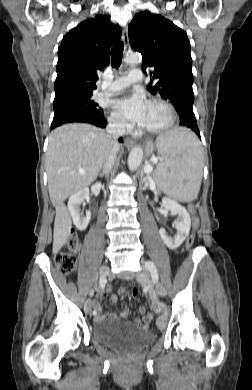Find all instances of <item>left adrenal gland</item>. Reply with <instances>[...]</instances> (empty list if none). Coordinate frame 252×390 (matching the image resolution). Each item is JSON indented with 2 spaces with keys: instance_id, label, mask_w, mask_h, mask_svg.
<instances>
[{
  "instance_id": "left-adrenal-gland-1",
  "label": "left adrenal gland",
  "mask_w": 252,
  "mask_h": 390,
  "mask_svg": "<svg viewBox=\"0 0 252 390\" xmlns=\"http://www.w3.org/2000/svg\"><path fill=\"white\" fill-rule=\"evenodd\" d=\"M141 181L145 183V187H148L150 185V182H149V180H147L146 177L142 179V176H141Z\"/></svg>"
}]
</instances>
